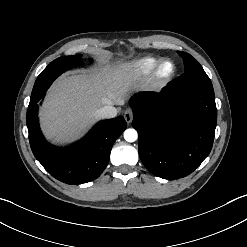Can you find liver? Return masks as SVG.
<instances>
[{
    "label": "liver",
    "instance_id": "6515ba94",
    "mask_svg": "<svg viewBox=\"0 0 247 247\" xmlns=\"http://www.w3.org/2000/svg\"><path fill=\"white\" fill-rule=\"evenodd\" d=\"M133 84L122 67H104L64 77L50 88L40 111L42 130L55 142L80 137L100 117L105 105H122Z\"/></svg>",
    "mask_w": 247,
    "mask_h": 247
}]
</instances>
